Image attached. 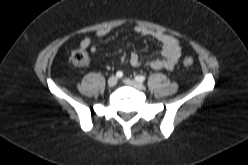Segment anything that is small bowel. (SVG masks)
Segmentation results:
<instances>
[{
    "instance_id": "obj_1",
    "label": "small bowel",
    "mask_w": 248,
    "mask_h": 165,
    "mask_svg": "<svg viewBox=\"0 0 248 165\" xmlns=\"http://www.w3.org/2000/svg\"><path fill=\"white\" fill-rule=\"evenodd\" d=\"M109 31L110 30L108 28H102L96 32V37L102 38L106 36ZM135 32L141 36L151 37L157 40L162 45V48L161 58L147 61H142L138 53L132 52L129 55V64L132 67L137 68L144 65L155 70H172L176 66L182 56L181 45L176 37L143 26L135 27ZM91 43V38L85 37L80 42V46L85 49H90V52L95 54L97 52V48L95 46H91Z\"/></svg>"
}]
</instances>
